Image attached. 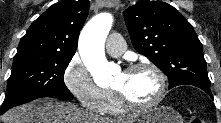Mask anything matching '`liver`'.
I'll list each match as a JSON object with an SVG mask.
<instances>
[{
  "label": "liver",
  "instance_id": "liver-1",
  "mask_svg": "<svg viewBox=\"0 0 221 123\" xmlns=\"http://www.w3.org/2000/svg\"><path fill=\"white\" fill-rule=\"evenodd\" d=\"M3 123H131L111 120L87 112L72 103L44 98L7 111Z\"/></svg>",
  "mask_w": 221,
  "mask_h": 123
}]
</instances>
